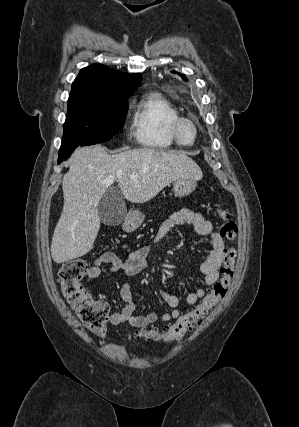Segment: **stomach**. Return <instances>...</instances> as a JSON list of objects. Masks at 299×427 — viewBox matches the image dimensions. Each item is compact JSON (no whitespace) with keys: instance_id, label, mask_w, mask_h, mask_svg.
I'll return each instance as SVG.
<instances>
[{"instance_id":"0dacf381","label":"stomach","mask_w":299,"mask_h":427,"mask_svg":"<svg viewBox=\"0 0 299 427\" xmlns=\"http://www.w3.org/2000/svg\"><path fill=\"white\" fill-rule=\"evenodd\" d=\"M196 180L192 178H179L173 181L174 194L178 198L189 196L196 188ZM145 216L142 212L133 211L125 222L127 230L137 229L144 221Z\"/></svg>"}]
</instances>
